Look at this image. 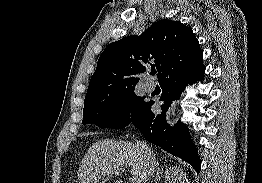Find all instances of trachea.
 Returning <instances> with one entry per match:
<instances>
[{
  "label": "trachea",
  "instance_id": "trachea-1",
  "mask_svg": "<svg viewBox=\"0 0 262 183\" xmlns=\"http://www.w3.org/2000/svg\"><path fill=\"white\" fill-rule=\"evenodd\" d=\"M151 75H155L156 74V71L155 70H153V71H151V73H150Z\"/></svg>",
  "mask_w": 262,
  "mask_h": 183
}]
</instances>
